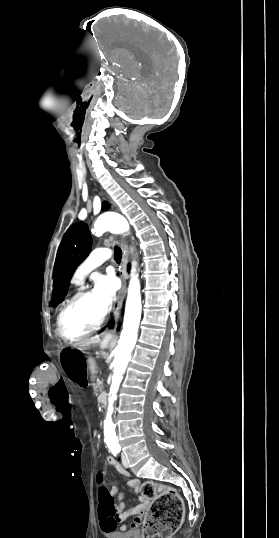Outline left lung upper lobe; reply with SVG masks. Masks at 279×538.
<instances>
[{"mask_svg":"<svg viewBox=\"0 0 279 538\" xmlns=\"http://www.w3.org/2000/svg\"><path fill=\"white\" fill-rule=\"evenodd\" d=\"M109 203H103L108 209ZM92 239L88 225L83 222L72 224L59 246L55 261L53 296L50 306H57L67 294L70 279L76 267L89 255Z\"/></svg>","mask_w":279,"mask_h":538,"instance_id":"left-lung-upper-lobe-1","label":"left lung upper lobe"}]
</instances>
